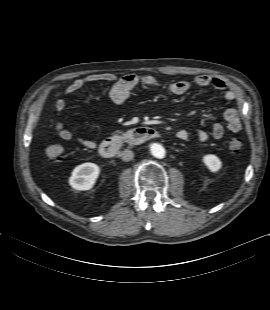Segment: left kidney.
<instances>
[{
  "instance_id": "5707ae66",
  "label": "left kidney",
  "mask_w": 270,
  "mask_h": 310,
  "mask_svg": "<svg viewBox=\"0 0 270 310\" xmlns=\"http://www.w3.org/2000/svg\"><path fill=\"white\" fill-rule=\"evenodd\" d=\"M203 163L213 173L219 171L222 167L221 160L214 154H207L203 156Z\"/></svg>"
}]
</instances>
